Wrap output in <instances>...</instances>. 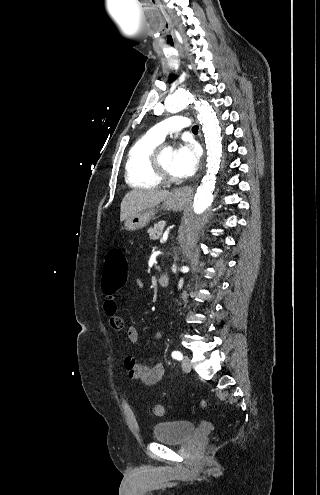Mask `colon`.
Instances as JSON below:
<instances>
[{
	"mask_svg": "<svg viewBox=\"0 0 320 495\" xmlns=\"http://www.w3.org/2000/svg\"><path fill=\"white\" fill-rule=\"evenodd\" d=\"M128 277V263L124 252L120 249H112L108 252L104 269L102 286L106 293L117 291L124 285ZM202 408L208 406L205 400L200 403ZM153 413L156 416L164 415V407L161 404H154L152 407Z\"/></svg>",
	"mask_w": 320,
	"mask_h": 495,
	"instance_id": "obj_1",
	"label": "colon"
}]
</instances>
